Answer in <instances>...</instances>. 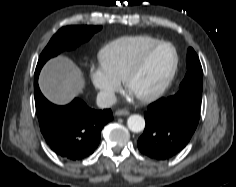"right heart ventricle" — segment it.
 I'll return each mask as SVG.
<instances>
[{"label":"right heart ventricle","mask_w":236,"mask_h":187,"mask_svg":"<svg viewBox=\"0 0 236 187\" xmlns=\"http://www.w3.org/2000/svg\"><path fill=\"white\" fill-rule=\"evenodd\" d=\"M158 41L149 35L120 37L99 51V62L106 71L123 81L139 56Z\"/></svg>","instance_id":"obj_1"}]
</instances>
